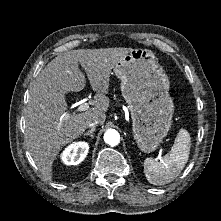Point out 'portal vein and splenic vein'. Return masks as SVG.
I'll return each mask as SVG.
<instances>
[{"instance_id": "portal-vein-and-splenic-vein-1", "label": "portal vein and splenic vein", "mask_w": 221, "mask_h": 221, "mask_svg": "<svg viewBox=\"0 0 221 221\" xmlns=\"http://www.w3.org/2000/svg\"><path fill=\"white\" fill-rule=\"evenodd\" d=\"M89 107H90V104H89L88 102L81 101V102L79 103L78 108H77V112L86 111V110L89 109ZM68 116H69V115H66V117H68ZM159 159H161V158L159 157Z\"/></svg>"}]
</instances>
